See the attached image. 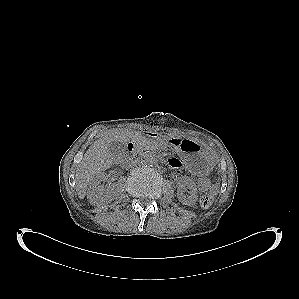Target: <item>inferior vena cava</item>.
Wrapping results in <instances>:
<instances>
[{
  "label": "inferior vena cava",
  "mask_w": 299,
  "mask_h": 299,
  "mask_svg": "<svg viewBox=\"0 0 299 299\" xmlns=\"http://www.w3.org/2000/svg\"><path fill=\"white\" fill-rule=\"evenodd\" d=\"M139 164V162L137 160H131L128 162L127 166L132 168V167H136Z\"/></svg>",
  "instance_id": "1"
}]
</instances>
